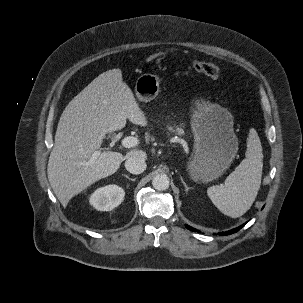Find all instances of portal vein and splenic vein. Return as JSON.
Wrapping results in <instances>:
<instances>
[{"mask_svg": "<svg viewBox=\"0 0 303 303\" xmlns=\"http://www.w3.org/2000/svg\"><path fill=\"white\" fill-rule=\"evenodd\" d=\"M139 143L138 139L133 137V136H128L125 137L124 139H122L121 144L123 147L125 148H132L134 146H137ZM100 155L99 151H96L92 154L90 161L92 162L93 160H95L98 156Z\"/></svg>", "mask_w": 303, "mask_h": 303, "instance_id": "18ae733b", "label": "portal vein and splenic vein"}]
</instances>
